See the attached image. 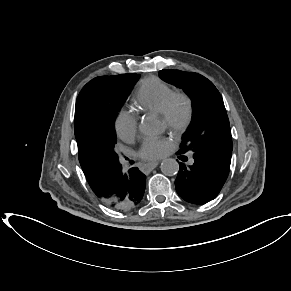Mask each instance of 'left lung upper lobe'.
<instances>
[{
    "label": "left lung upper lobe",
    "instance_id": "obj_1",
    "mask_svg": "<svg viewBox=\"0 0 291 291\" xmlns=\"http://www.w3.org/2000/svg\"><path fill=\"white\" fill-rule=\"evenodd\" d=\"M160 77L170 84L182 88L191 98L193 118L183 135L181 149L188 150L193 157L211 162L229 170L232 155V137L229 119L223 99L214 86L204 76L180 70H161Z\"/></svg>",
    "mask_w": 291,
    "mask_h": 291
}]
</instances>
